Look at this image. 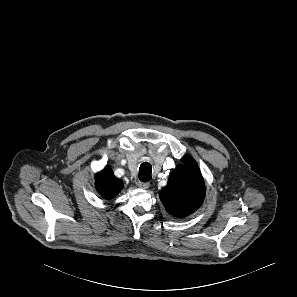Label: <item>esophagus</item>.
<instances>
[{
	"instance_id": "obj_1",
	"label": "esophagus",
	"mask_w": 297,
	"mask_h": 297,
	"mask_svg": "<svg viewBox=\"0 0 297 297\" xmlns=\"http://www.w3.org/2000/svg\"><path fill=\"white\" fill-rule=\"evenodd\" d=\"M138 187L141 189H148L150 187V183L149 182H138Z\"/></svg>"
}]
</instances>
